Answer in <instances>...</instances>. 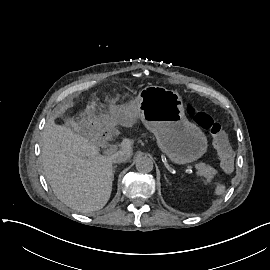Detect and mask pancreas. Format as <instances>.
<instances>
[{"label":"pancreas","instance_id":"1","mask_svg":"<svg viewBox=\"0 0 270 270\" xmlns=\"http://www.w3.org/2000/svg\"><path fill=\"white\" fill-rule=\"evenodd\" d=\"M195 168L198 170V174L202 175L206 178V182H211L214 175L217 174V170L211 167L210 165H206L205 163H198L195 165Z\"/></svg>","mask_w":270,"mask_h":270}]
</instances>
